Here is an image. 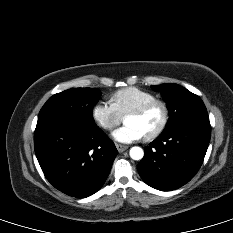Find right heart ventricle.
I'll list each match as a JSON object with an SVG mask.
<instances>
[{
    "label": "right heart ventricle",
    "mask_w": 233,
    "mask_h": 233,
    "mask_svg": "<svg viewBox=\"0 0 233 233\" xmlns=\"http://www.w3.org/2000/svg\"><path fill=\"white\" fill-rule=\"evenodd\" d=\"M155 98V95L147 90L130 86L115 91L111 95L110 101L119 114L124 117L132 109Z\"/></svg>",
    "instance_id": "1"
}]
</instances>
